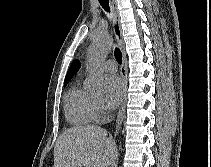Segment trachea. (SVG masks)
<instances>
[{
    "label": "trachea",
    "mask_w": 211,
    "mask_h": 167,
    "mask_svg": "<svg viewBox=\"0 0 211 167\" xmlns=\"http://www.w3.org/2000/svg\"><path fill=\"white\" fill-rule=\"evenodd\" d=\"M100 5L105 9V11L110 12L109 0H98ZM115 58L119 64H122V53L119 48H115L114 51Z\"/></svg>",
    "instance_id": "3493384b"
}]
</instances>
